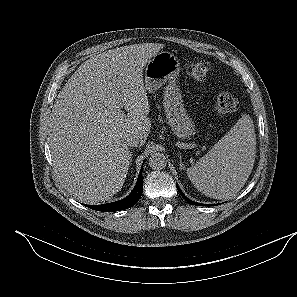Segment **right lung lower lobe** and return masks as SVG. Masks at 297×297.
Here are the masks:
<instances>
[{
    "instance_id": "obj_1",
    "label": "right lung lower lobe",
    "mask_w": 297,
    "mask_h": 297,
    "mask_svg": "<svg viewBox=\"0 0 297 297\" xmlns=\"http://www.w3.org/2000/svg\"><path fill=\"white\" fill-rule=\"evenodd\" d=\"M142 192H143V177H142V171H141L133 191L126 198L120 201L107 203L103 205H86V206L93 210L104 211V212L124 210L134 206L140 199Z\"/></svg>"
}]
</instances>
